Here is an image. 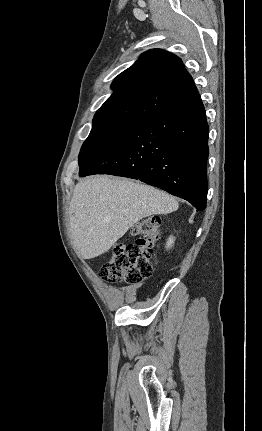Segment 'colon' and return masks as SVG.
I'll return each instance as SVG.
<instances>
[{"mask_svg": "<svg viewBox=\"0 0 262 431\" xmlns=\"http://www.w3.org/2000/svg\"><path fill=\"white\" fill-rule=\"evenodd\" d=\"M160 225L158 216L140 222L135 241L115 247L111 258L99 270L100 278L111 283L122 281L128 284L149 278L156 260L155 247L161 235Z\"/></svg>", "mask_w": 262, "mask_h": 431, "instance_id": "colon-1", "label": "colon"}]
</instances>
